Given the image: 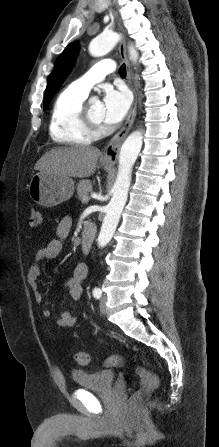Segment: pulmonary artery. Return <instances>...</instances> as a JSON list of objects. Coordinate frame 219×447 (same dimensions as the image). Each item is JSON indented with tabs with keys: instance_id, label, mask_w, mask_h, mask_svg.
<instances>
[{
	"instance_id": "pulmonary-artery-1",
	"label": "pulmonary artery",
	"mask_w": 219,
	"mask_h": 447,
	"mask_svg": "<svg viewBox=\"0 0 219 447\" xmlns=\"http://www.w3.org/2000/svg\"><path fill=\"white\" fill-rule=\"evenodd\" d=\"M115 65L111 60H103L94 65L87 73L70 84L78 93L87 96L93 85L113 73Z\"/></svg>"
}]
</instances>
